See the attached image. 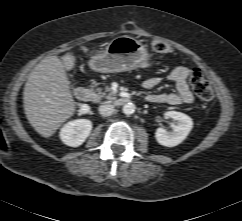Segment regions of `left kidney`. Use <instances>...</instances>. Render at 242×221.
Masks as SVG:
<instances>
[{"label":"left kidney","mask_w":242,"mask_h":221,"mask_svg":"<svg viewBox=\"0 0 242 221\" xmlns=\"http://www.w3.org/2000/svg\"><path fill=\"white\" fill-rule=\"evenodd\" d=\"M165 116L177 121L174 130L168 132L164 128H158L155 132L157 142L165 147H174L182 143L193 127L192 119L181 112L168 111Z\"/></svg>","instance_id":"1"}]
</instances>
